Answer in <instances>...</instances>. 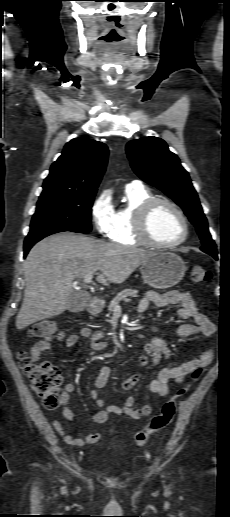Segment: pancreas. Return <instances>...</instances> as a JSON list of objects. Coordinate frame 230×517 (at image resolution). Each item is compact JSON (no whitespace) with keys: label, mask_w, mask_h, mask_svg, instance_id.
Wrapping results in <instances>:
<instances>
[{"label":"pancreas","mask_w":230,"mask_h":517,"mask_svg":"<svg viewBox=\"0 0 230 517\" xmlns=\"http://www.w3.org/2000/svg\"><path fill=\"white\" fill-rule=\"evenodd\" d=\"M138 290H135V289H124L123 291H121L120 293H118L116 295V297H114V299H112V301L110 302L109 306H108V310L110 312H112L114 310V308L124 299H126L127 297H137L138 296Z\"/></svg>","instance_id":"1"}]
</instances>
